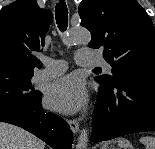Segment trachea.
<instances>
[{
    "label": "trachea",
    "instance_id": "obj_1",
    "mask_svg": "<svg viewBox=\"0 0 155 149\" xmlns=\"http://www.w3.org/2000/svg\"><path fill=\"white\" fill-rule=\"evenodd\" d=\"M56 23L61 31H65L68 26V9L64 0H60L55 7ZM99 69V68H95Z\"/></svg>",
    "mask_w": 155,
    "mask_h": 149
}]
</instances>
